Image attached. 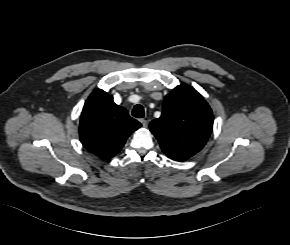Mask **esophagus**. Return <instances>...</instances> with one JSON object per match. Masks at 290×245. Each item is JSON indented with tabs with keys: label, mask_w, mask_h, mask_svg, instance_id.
<instances>
[{
	"label": "esophagus",
	"mask_w": 290,
	"mask_h": 245,
	"mask_svg": "<svg viewBox=\"0 0 290 245\" xmlns=\"http://www.w3.org/2000/svg\"><path fill=\"white\" fill-rule=\"evenodd\" d=\"M141 124L143 125V127H147L148 126V121L145 119H140Z\"/></svg>",
	"instance_id": "1"
}]
</instances>
